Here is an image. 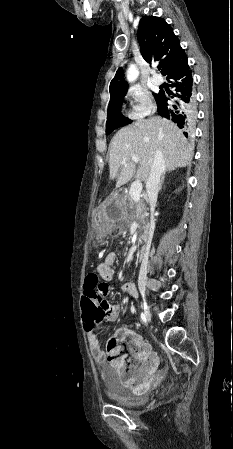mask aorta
<instances>
[{"label":"aorta","mask_w":233,"mask_h":449,"mask_svg":"<svg viewBox=\"0 0 233 449\" xmlns=\"http://www.w3.org/2000/svg\"><path fill=\"white\" fill-rule=\"evenodd\" d=\"M138 76H139V71H138L136 65L131 64L127 70V80L129 82H134L138 78Z\"/></svg>","instance_id":"1"}]
</instances>
